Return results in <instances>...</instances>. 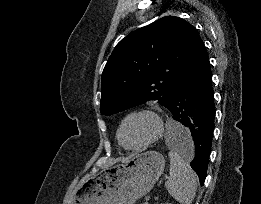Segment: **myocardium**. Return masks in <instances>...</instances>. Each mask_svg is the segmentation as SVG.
I'll list each match as a JSON object with an SVG mask.
<instances>
[{
  "label": "myocardium",
  "mask_w": 261,
  "mask_h": 204,
  "mask_svg": "<svg viewBox=\"0 0 261 204\" xmlns=\"http://www.w3.org/2000/svg\"><path fill=\"white\" fill-rule=\"evenodd\" d=\"M135 117L149 118L154 124V131H153L152 135L148 139H146L144 142H142L138 145L128 146V145L124 144V142L122 141L121 133H122V130H123V127L125 126V124L130 119L135 118ZM163 132H164V121H163L162 117L160 116V114L152 108L144 107V108H139V109L133 110L124 116V118L121 120L118 130H117V140H118L119 144L126 150H131V151L142 150V149L147 148L151 144L155 143L156 141H158L162 137Z\"/></svg>",
  "instance_id": "obj_1"
}]
</instances>
